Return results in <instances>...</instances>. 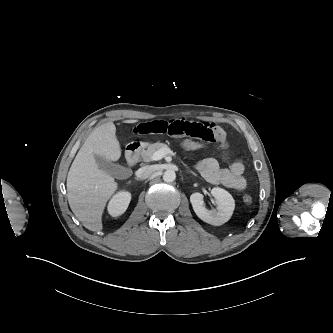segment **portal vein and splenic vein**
Masks as SVG:
<instances>
[{
  "label": "portal vein and splenic vein",
  "instance_id": "portal-vein-and-splenic-vein-1",
  "mask_svg": "<svg viewBox=\"0 0 333 333\" xmlns=\"http://www.w3.org/2000/svg\"><path fill=\"white\" fill-rule=\"evenodd\" d=\"M169 154L174 155V152L170 148H163V149L156 151L152 155L151 160L152 161L161 160L163 157H165L166 155H169Z\"/></svg>",
  "mask_w": 333,
  "mask_h": 333
}]
</instances>
